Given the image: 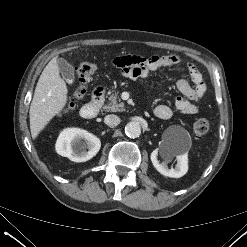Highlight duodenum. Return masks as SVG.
Returning a JSON list of instances; mask_svg holds the SVG:
<instances>
[{
	"label": "duodenum",
	"mask_w": 247,
	"mask_h": 247,
	"mask_svg": "<svg viewBox=\"0 0 247 247\" xmlns=\"http://www.w3.org/2000/svg\"><path fill=\"white\" fill-rule=\"evenodd\" d=\"M103 96L104 89L102 87H98L93 91L91 101L84 105L80 111L84 119H92L98 114Z\"/></svg>",
	"instance_id": "1"
}]
</instances>
